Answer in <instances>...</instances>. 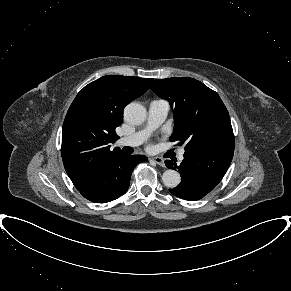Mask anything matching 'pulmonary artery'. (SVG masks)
Here are the masks:
<instances>
[{"label":"pulmonary artery","mask_w":291,"mask_h":291,"mask_svg":"<svg viewBox=\"0 0 291 291\" xmlns=\"http://www.w3.org/2000/svg\"><path fill=\"white\" fill-rule=\"evenodd\" d=\"M169 109L170 105L166 100H152L148 108V119L146 127L134 134L119 138L116 142L117 145L135 147L142 144L147 139L151 131L159 127L164 122L168 115ZM184 153L185 150L182 149L179 153L180 160L184 158Z\"/></svg>","instance_id":"obj_1"}]
</instances>
